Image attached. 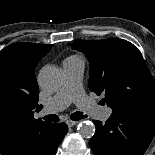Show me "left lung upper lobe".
<instances>
[{
  "mask_svg": "<svg viewBox=\"0 0 155 155\" xmlns=\"http://www.w3.org/2000/svg\"><path fill=\"white\" fill-rule=\"evenodd\" d=\"M90 63L89 89L112 108L113 114L155 113V84L140 51L122 39L76 41Z\"/></svg>",
  "mask_w": 155,
  "mask_h": 155,
  "instance_id": "5c2ea615",
  "label": "left lung upper lobe"
}]
</instances>
